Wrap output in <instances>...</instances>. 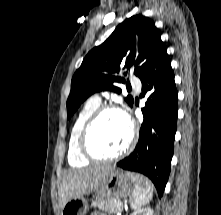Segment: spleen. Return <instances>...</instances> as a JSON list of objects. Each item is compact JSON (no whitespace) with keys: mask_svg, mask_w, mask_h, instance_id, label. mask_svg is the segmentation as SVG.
I'll return each instance as SVG.
<instances>
[{"mask_svg":"<svg viewBox=\"0 0 221 215\" xmlns=\"http://www.w3.org/2000/svg\"><path fill=\"white\" fill-rule=\"evenodd\" d=\"M152 196L153 190L149 180L144 177H136L135 188L130 198L131 208L134 210H139L142 206L150 202Z\"/></svg>","mask_w":221,"mask_h":215,"instance_id":"obj_1","label":"spleen"}]
</instances>
